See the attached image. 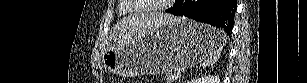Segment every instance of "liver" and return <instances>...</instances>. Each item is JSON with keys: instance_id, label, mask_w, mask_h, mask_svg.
<instances>
[{"instance_id": "6515ba94", "label": "liver", "mask_w": 307, "mask_h": 83, "mask_svg": "<svg viewBox=\"0 0 307 83\" xmlns=\"http://www.w3.org/2000/svg\"><path fill=\"white\" fill-rule=\"evenodd\" d=\"M176 17L169 14L151 13L129 16L120 20L111 33V47L122 46L158 26L175 21Z\"/></svg>"}]
</instances>
